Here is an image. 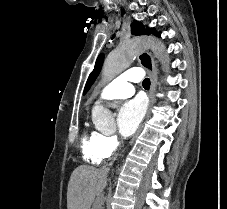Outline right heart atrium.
Instances as JSON below:
<instances>
[{
	"instance_id": "right-heart-atrium-1",
	"label": "right heart atrium",
	"mask_w": 227,
	"mask_h": 209,
	"mask_svg": "<svg viewBox=\"0 0 227 209\" xmlns=\"http://www.w3.org/2000/svg\"><path fill=\"white\" fill-rule=\"evenodd\" d=\"M105 144L107 148L113 153L119 146V140L114 135H105Z\"/></svg>"
}]
</instances>
